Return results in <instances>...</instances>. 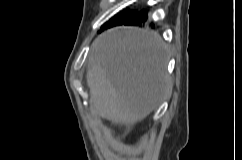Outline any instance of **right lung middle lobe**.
I'll use <instances>...</instances> for the list:
<instances>
[{"label": "right lung middle lobe", "instance_id": "right-lung-middle-lobe-1", "mask_svg": "<svg viewBox=\"0 0 242 160\" xmlns=\"http://www.w3.org/2000/svg\"><path fill=\"white\" fill-rule=\"evenodd\" d=\"M134 12L126 11L120 15H117L113 17L109 22L105 23L102 27L101 30H104L106 28L112 27L115 24L119 23L120 21L126 19L128 16H130Z\"/></svg>", "mask_w": 242, "mask_h": 160}]
</instances>
